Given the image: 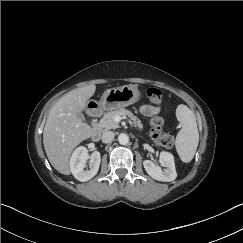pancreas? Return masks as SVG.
<instances>
[{"label": "pancreas", "mask_w": 243, "mask_h": 243, "mask_svg": "<svg viewBox=\"0 0 243 243\" xmlns=\"http://www.w3.org/2000/svg\"><path fill=\"white\" fill-rule=\"evenodd\" d=\"M116 116H129L133 121L134 126L141 131L143 125L141 121L129 110L120 108L119 110H114L104 114L103 118L100 120L99 125L105 130L116 129L119 127L118 123L115 121Z\"/></svg>", "instance_id": "pancreas-1"}]
</instances>
